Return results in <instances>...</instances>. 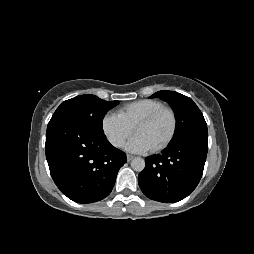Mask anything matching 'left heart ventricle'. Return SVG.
I'll return each mask as SVG.
<instances>
[{
  "mask_svg": "<svg viewBox=\"0 0 254 254\" xmlns=\"http://www.w3.org/2000/svg\"><path fill=\"white\" fill-rule=\"evenodd\" d=\"M172 120L168 113L164 112L157 116L153 121L146 125L139 126L136 134H140L154 148L160 145L171 131Z\"/></svg>",
  "mask_w": 254,
  "mask_h": 254,
  "instance_id": "obj_1",
  "label": "left heart ventricle"
}]
</instances>
